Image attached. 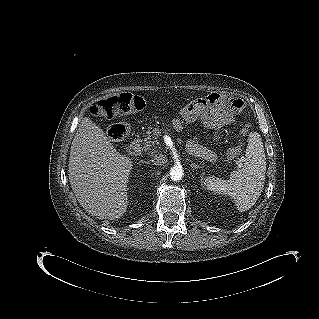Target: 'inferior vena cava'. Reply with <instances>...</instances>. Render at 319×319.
<instances>
[{
    "label": "inferior vena cava",
    "instance_id": "obj_1",
    "mask_svg": "<svg viewBox=\"0 0 319 319\" xmlns=\"http://www.w3.org/2000/svg\"><path fill=\"white\" fill-rule=\"evenodd\" d=\"M151 162L155 166H162V165H164L167 162V158L163 154L156 153V154H152Z\"/></svg>",
    "mask_w": 319,
    "mask_h": 319
}]
</instances>
